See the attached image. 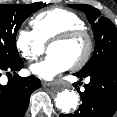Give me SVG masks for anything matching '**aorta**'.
Returning a JSON list of instances; mask_svg holds the SVG:
<instances>
[{"label":"aorta","mask_w":117,"mask_h":117,"mask_svg":"<svg viewBox=\"0 0 117 117\" xmlns=\"http://www.w3.org/2000/svg\"><path fill=\"white\" fill-rule=\"evenodd\" d=\"M79 96L73 90L65 89L55 98L56 107L63 113H69L78 106Z\"/></svg>","instance_id":"obj_1"}]
</instances>
